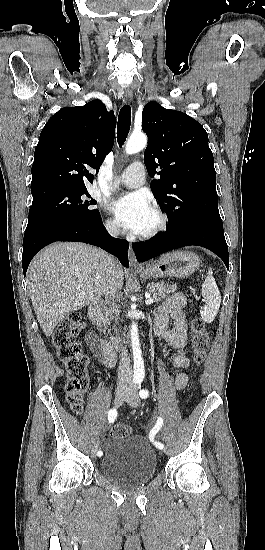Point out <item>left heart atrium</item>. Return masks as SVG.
Returning a JSON list of instances; mask_svg holds the SVG:
<instances>
[{
  "label": "left heart atrium",
  "mask_w": 265,
  "mask_h": 550,
  "mask_svg": "<svg viewBox=\"0 0 265 550\" xmlns=\"http://www.w3.org/2000/svg\"><path fill=\"white\" fill-rule=\"evenodd\" d=\"M111 211L121 227L133 233H141L152 209L146 196L135 192L115 200Z\"/></svg>",
  "instance_id": "obj_1"
}]
</instances>
